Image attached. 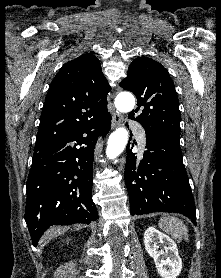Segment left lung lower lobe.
Returning a JSON list of instances; mask_svg holds the SVG:
<instances>
[{
	"label": "left lung lower lobe",
	"instance_id": "1",
	"mask_svg": "<svg viewBox=\"0 0 221 278\" xmlns=\"http://www.w3.org/2000/svg\"><path fill=\"white\" fill-rule=\"evenodd\" d=\"M129 143L124 179L132 215L156 211L176 212L196 225V207L182 161L180 136L147 134L140 160Z\"/></svg>",
	"mask_w": 221,
	"mask_h": 278
}]
</instances>
